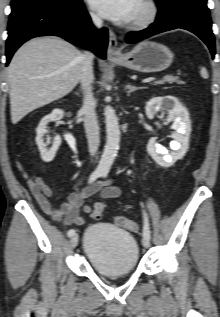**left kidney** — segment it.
<instances>
[{"mask_svg": "<svg viewBox=\"0 0 220 317\" xmlns=\"http://www.w3.org/2000/svg\"><path fill=\"white\" fill-rule=\"evenodd\" d=\"M160 109H168V119L173 121L172 129L176 132L171 135L173 141H171L170 147L175 152L169 153L166 148L156 143L155 138L149 140L147 152L157 164L169 167L182 159L188 150L191 122L187 109L173 96L150 99L146 103L145 113L149 119H153Z\"/></svg>", "mask_w": 220, "mask_h": 317, "instance_id": "left-kidney-1", "label": "left kidney"}]
</instances>
